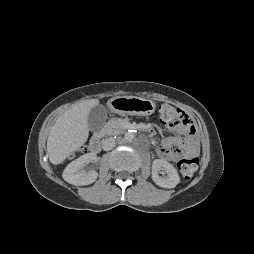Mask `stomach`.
<instances>
[{
  "mask_svg": "<svg viewBox=\"0 0 254 254\" xmlns=\"http://www.w3.org/2000/svg\"><path fill=\"white\" fill-rule=\"evenodd\" d=\"M112 113L128 115H150L155 111V102L149 99L133 96H118L108 101Z\"/></svg>",
  "mask_w": 254,
  "mask_h": 254,
  "instance_id": "obj_1",
  "label": "stomach"
}]
</instances>
